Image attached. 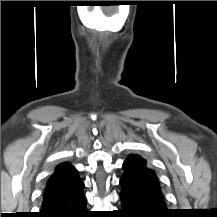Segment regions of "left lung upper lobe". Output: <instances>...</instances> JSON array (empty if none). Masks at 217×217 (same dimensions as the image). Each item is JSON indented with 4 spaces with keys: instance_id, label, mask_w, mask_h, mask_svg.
Masks as SVG:
<instances>
[{
    "instance_id": "obj_1",
    "label": "left lung upper lobe",
    "mask_w": 217,
    "mask_h": 217,
    "mask_svg": "<svg viewBox=\"0 0 217 217\" xmlns=\"http://www.w3.org/2000/svg\"><path fill=\"white\" fill-rule=\"evenodd\" d=\"M124 164L132 166L131 173L143 182L160 185V181L153 169L148 168L147 161L139 155H130Z\"/></svg>"
}]
</instances>
